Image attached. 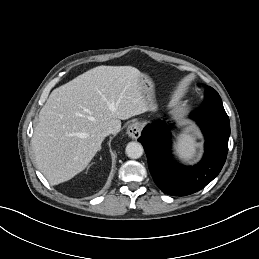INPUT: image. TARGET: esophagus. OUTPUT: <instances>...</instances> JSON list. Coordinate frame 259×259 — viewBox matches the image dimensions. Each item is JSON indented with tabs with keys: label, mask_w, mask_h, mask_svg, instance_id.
I'll use <instances>...</instances> for the list:
<instances>
[{
	"label": "esophagus",
	"mask_w": 259,
	"mask_h": 259,
	"mask_svg": "<svg viewBox=\"0 0 259 259\" xmlns=\"http://www.w3.org/2000/svg\"><path fill=\"white\" fill-rule=\"evenodd\" d=\"M127 134L133 139L139 138L141 135V125L138 122H132L127 128Z\"/></svg>",
	"instance_id": "34e87169"
}]
</instances>
